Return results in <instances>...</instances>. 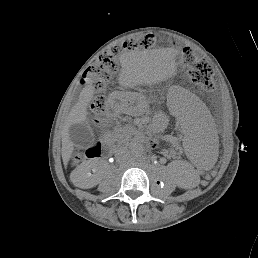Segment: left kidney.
<instances>
[{"mask_svg":"<svg viewBox=\"0 0 258 258\" xmlns=\"http://www.w3.org/2000/svg\"><path fill=\"white\" fill-rule=\"evenodd\" d=\"M190 171V170H189ZM194 173L191 172H183L181 173V178L178 181V186L180 188L188 189L194 187Z\"/></svg>","mask_w":258,"mask_h":258,"instance_id":"left-kidney-1","label":"left kidney"}]
</instances>
